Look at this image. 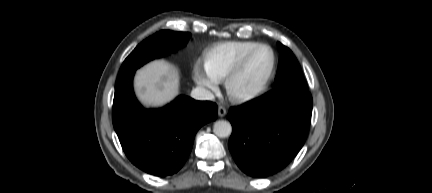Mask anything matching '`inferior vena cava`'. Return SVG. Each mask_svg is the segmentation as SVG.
Returning a JSON list of instances; mask_svg holds the SVG:
<instances>
[{"label":"inferior vena cava","instance_id":"obj_1","mask_svg":"<svg viewBox=\"0 0 432 193\" xmlns=\"http://www.w3.org/2000/svg\"><path fill=\"white\" fill-rule=\"evenodd\" d=\"M191 97L196 100H214V95L211 91L203 88L196 87L191 91Z\"/></svg>","mask_w":432,"mask_h":193}]
</instances>
